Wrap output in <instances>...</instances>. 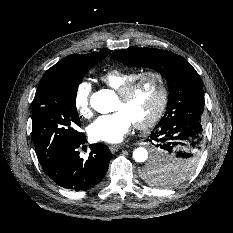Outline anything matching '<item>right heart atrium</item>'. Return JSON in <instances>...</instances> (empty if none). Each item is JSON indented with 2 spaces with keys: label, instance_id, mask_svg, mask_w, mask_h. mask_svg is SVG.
<instances>
[{
  "label": "right heart atrium",
  "instance_id": "obj_1",
  "mask_svg": "<svg viewBox=\"0 0 233 233\" xmlns=\"http://www.w3.org/2000/svg\"><path fill=\"white\" fill-rule=\"evenodd\" d=\"M92 92V86L87 81H81L74 93V107L78 114L83 118H88L91 116V104L90 97Z\"/></svg>",
  "mask_w": 233,
  "mask_h": 233
}]
</instances>
